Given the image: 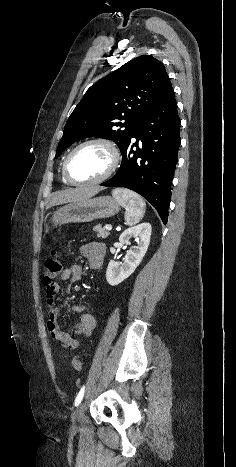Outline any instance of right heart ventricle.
Here are the masks:
<instances>
[{
  "mask_svg": "<svg viewBox=\"0 0 236 467\" xmlns=\"http://www.w3.org/2000/svg\"><path fill=\"white\" fill-rule=\"evenodd\" d=\"M65 162V161H64ZM64 162L62 164V168H61V174H62V180L66 183V184H70L64 177V174H63V166H64Z\"/></svg>",
  "mask_w": 236,
  "mask_h": 467,
  "instance_id": "1",
  "label": "right heart ventricle"
}]
</instances>
